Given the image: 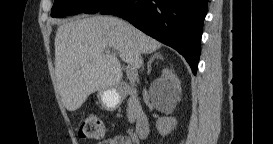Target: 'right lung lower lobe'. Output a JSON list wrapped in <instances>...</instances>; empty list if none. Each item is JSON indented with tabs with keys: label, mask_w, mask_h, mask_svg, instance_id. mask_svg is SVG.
<instances>
[{
	"label": "right lung lower lobe",
	"mask_w": 273,
	"mask_h": 144,
	"mask_svg": "<svg viewBox=\"0 0 273 144\" xmlns=\"http://www.w3.org/2000/svg\"><path fill=\"white\" fill-rule=\"evenodd\" d=\"M208 0H111L98 12L128 20L182 54L196 75Z\"/></svg>",
	"instance_id": "1"
}]
</instances>
